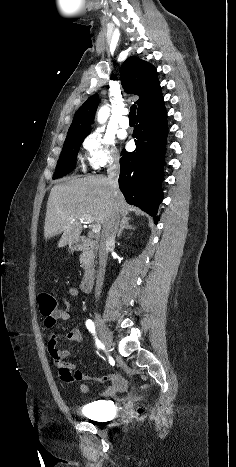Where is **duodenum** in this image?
<instances>
[{"label":"duodenum","mask_w":236,"mask_h":467,"mask_svg":"<svg viewBox=\"0 0 236 467\" xmlns=\"http://www.w3.org/2000/svg\"><path fill=\"white\" fill-rule=\"evenodd\" d=\"M96 244L84 237H78L72 240L71 248L75 251L93 250ZM95 271L91 266H88L81 278L80 288L82 292H91L94 284Z\"/></svg>","instance_id":"410a0bca"}]
</instances>
